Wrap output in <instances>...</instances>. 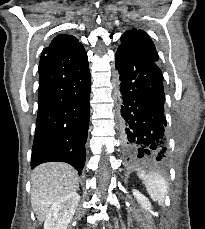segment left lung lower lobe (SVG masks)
I'll use <instances>...</instances> for the list:
<instances>
[{
  "label": "left lung lower lobe",
  "instance_id": "left-lung-lower-lobe-1",
  "mask_svg": "<svg viewBox=\"0 0 205 229\" xmlns=\"http://www.w3.org/2000/svg\"><path fill=\"white\" fill-rule=\"evenodd\" d=\"M115 67L121 81L122 146L131 157L165 161L168 155L163 75L158 64L119 46ZM129 160V158H128Z\"/></svg>",
  "mask_w": 205,
  "mask_h": 229
}]
</instances>
